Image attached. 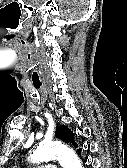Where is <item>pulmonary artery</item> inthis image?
<instances>
[{
	"label": "pulmonary artery",
	"mask_w": 127,
	"mask_h": 168,
	"mask_svg": "<svg viewBox=\"0 0 127 168\" xmlns=\"http://www.w3.org/2000/svg\"><path fill=\"white\" fill-rule=\"evenodd\" d=\"M33 168H55V166L52 165V164H42V165H38V166L33 167Z\"/></svg>",
	"instance_id": "pulmonary-artery-1"
}]
</instances>
